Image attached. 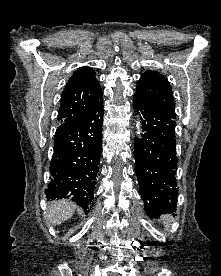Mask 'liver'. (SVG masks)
<instances>
[{
	"label": "liver",
	"mask_w": 221,
	"mask_h": 276,
	"mask_svg": "<svg viewBox=\"0 0 221 276\" xmlns=\"http://www.w3.org/2000/svg\"><path fill=\"white\" fill-rule=\"evenodd\" d=\"M76 205L69 200L51 202L48 206V220L53 225H60L72 217Z\"/></svg>",
	"instance_id": "liver-1"
}]
</instances>
